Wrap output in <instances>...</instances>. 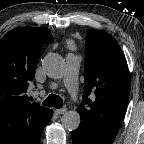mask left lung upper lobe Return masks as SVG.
<instances>
[{"instance_id":"left-lung-upper-lobe-1","label":"left lung upper lobe","mask_w":144,"mask_h":144,"mask_svg":"<svg viewBox=\"0 0 144 144\" xmlns=\"http://www.w3.org/2000/svg\"><path fill=\"white\" fill-rule=\"evenodd\" d=\"M85 50L83 102L77 109L79 127L93 136L114 140L130 94L127 62L117 41L104 31L89 30Z\"/></svg>"}]
</instances>
